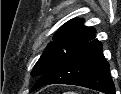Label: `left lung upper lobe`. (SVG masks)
I'll use <instances>...</instances> for the list:
<instances>
[{"label":"left lung upper lobe","instance_id":"obj_1","mask_svg":"<svg viewBox=\"0 0 121 94\" xmlns=\"http://www.w3.org/2000/svg\"><path fill=\"white\" fill-rule=\"evenodd\" d=\"M95 29L83 25L82 19H72L55 34L35 64L31 75L41 76L58 61L95 38Z\"/></svg>","mask_w":121,"mask_h":94}]
</instances>
